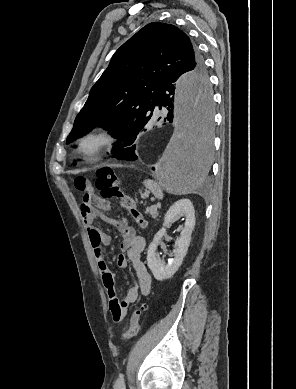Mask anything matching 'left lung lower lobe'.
Masks as SVG:
<instances>
[{
  "instance_id": "0a47b994",
  "label": "left lung lower lobe",
  "mask_w": 296,
  "mask_h": 389,
  "mask_svg": "<svg viewBox=\"0 0 296 389\" xmlns=\"http://www.w3.org/2000/svg\"><path fill=\"white\" fill-rule=\"evenodd\" d=\"M178 77L165 81L158 91L156 105L166 107L167 115L164 121L172 123L176 119V90L175 82ZM191 95L194 100L197 99V108L199 112L198 125L188 140V157L193 169V178L199 179L205 175L209 168L212 144L209 137V131L212 122V96L210 87L205 81V77L195 76L191 78ZM155 105V106H156ZM160 119V118H159ZM158 119V120H159ZM149 123V122H148ZM146 125L143 126L145 128ZM141 125H133L129 132L118 139L119 143L113 145L111 149L112 157L118 160L133 161L138 159V149L133 145L137 138ZM139 131V132H138Z\"/></svg>"
}]
</instances>
